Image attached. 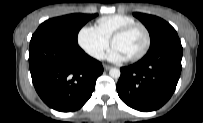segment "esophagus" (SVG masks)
Masks as SVG:
<instances>
[{
  "mask_svg": "<svg viewBox=\"0 0 203 123\" xmlns=\"http://www.w3.org/2000/svg\"><path fill=\"white\" fill-rule=\"evenodd\" d=\"M103 67H104L105 70L111 69V66H109V65H104Z\"/></svg>",
  "mask_w": 203,
  "mask_h": 123,
  "instance_id": "esophagus-1",
  "label": "esophagus"
}]
</instances>
